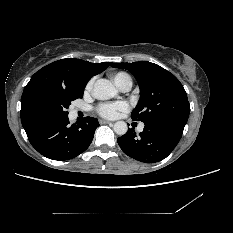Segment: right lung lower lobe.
I'll return each mask as SVG.
<instances>
[{"label":"right lung lower lobe","mask_w":233,"mask_h":233,"mask_svg":"<svg viewBox=\"0 0 233 233\" xmlns=\"http://www.w3.org/2000/svg\"><path fill=\"white\" fill-rule=\"evenodd\" d=\"M69 119L50 121L27 134L31 145L43 156L63 161L84 152L91 144L98 120L86 117L80 123L69 125Z\"/></svg>","instance_id":"98d812e1"}]
</instances>
